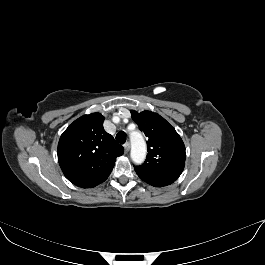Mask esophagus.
Listing matches in <instances>:
<instances>
[{"label":"esophagus","instance_id":"1","mask_svg":"<svg viewBox=\"0 0 265 265\" xmlns=\"http://www.w3.org/2000/svg\"><path fill=\"white\" fill-rule=\"evenodd\" d=\"M129 149H130V143H129V142H126V143L124 144V150H125V153H127V152L129 151Z\"/></svg>","mask_w":265,"mask_h":265}]
</instances>
